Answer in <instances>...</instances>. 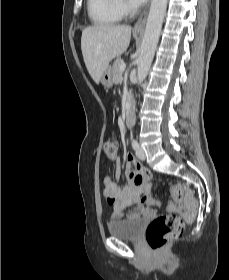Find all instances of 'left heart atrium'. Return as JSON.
<instances>
[{
  "instance_id": "1",
  "label": "left heart atrium",
  "mask_w": 229,
  "mask_h": 280,
  "mask_svg": "<svg viewBox=\"0 0 229 280\" xmlns=\"http://www.w3.org/2000/svg\"><path fill=\"white\" fill-rule=\"evenodd\" d=\"M130 2H131L134 6H139V5L143 4L144 2H146V0H130Z\"/></svg>"
}]
</instances>
